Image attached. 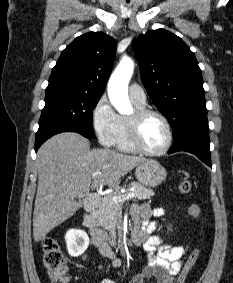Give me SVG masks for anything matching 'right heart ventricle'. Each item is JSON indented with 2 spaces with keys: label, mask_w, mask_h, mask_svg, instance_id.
I'll list each match as a JSON object with an SVG mask.
<instances>
[{
  "label": "right heart ventricle",
  "mask_w": 233,
  "mask_h": 283,
  "mask_svg": "<svg viewBox=\"0 0 233 283\" xmlns=\"http://www.w3.org/2000/svg\"><path fill=\"white\" fill-rule=\"evenodd\" d=\"M138 109L144 108V105H137L135 104ZM116 147L124 152H134L136 151L134 147L131 145L129 136H128V129H127V118L120 117L119 120V130L118 135L115 142Z\"/></svg>",
  "instance_id": "e07e8e85"
}]
</instances>
